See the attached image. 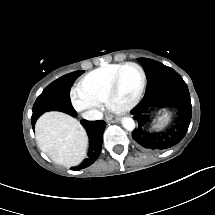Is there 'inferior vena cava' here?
<instances>
[{
  "label": "inferior vena cava",
  "instance_id": "602c4592",
  "mask_svg": "<svg viewBox=\"0 0 215 215\" xmlns=\"http://www.w3.org/2000/svg\"><path fill=\"white\" fill-rule=\"evenodd\" d=\"M82 117L86 120H99L103 118V112L99 110H89L83 112Z\"/></svg>",
  "mask_w": 215,
  "mask_h": 215
}]
</instances>
